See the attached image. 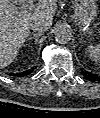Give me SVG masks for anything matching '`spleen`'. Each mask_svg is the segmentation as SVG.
<instances>
[{"label":"spleen","instance_id":"spleen-1","mask_svg":"<svg viewBox=\"0 0 100 118\" xmlns=\"http://www.w3.org/2000/svg\"><path fill=\"white\" fill-rule=\"evenodd\" d=\"M86 53L88 54L89 58L95 63H99L100 58V47L99 46H88L86 49Z\"/></svg>","mask_w":100,"mask_h":118}]
</instances>
